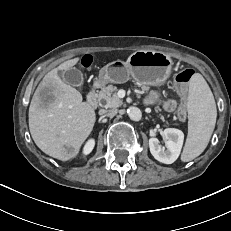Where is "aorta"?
<instances>
[{"instance_id":"obj_1","label":"aorta","mask_w":231,"mask_h":231,"mask_svg":"<svg viewBox=\"0 0 231 231\" xmlns=\"http://www.w3.org/2000/svg\"><path fill=\"white\" fill-rule=\"evenodd\" d=\"M128 116L133 121H139L142 117V112L137 107H130L127 109Z\"/></svg>"}]
</instances>
